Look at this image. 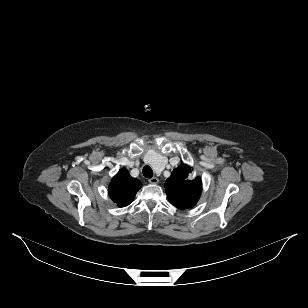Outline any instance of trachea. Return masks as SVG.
Instances as JSON below:
<instances>
[{
    "mask_svg": "<svg viewBox=\"0 0 308 308\" xmlns=\"http://www.w3.org/2000/svg\"><path fill=\"white\" fill-rule=\"evenodd\" d=\"M142 172H143L144 177H146V178H152L153 177V171H152L151 167L148 166V165L143 167Z\"/></svg>",
    "mask_w": 308,
    "mask_h": 308,
    "instance_id": "1",
    "label": "trachea"
}]
</instances>
